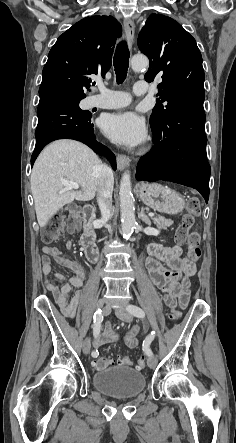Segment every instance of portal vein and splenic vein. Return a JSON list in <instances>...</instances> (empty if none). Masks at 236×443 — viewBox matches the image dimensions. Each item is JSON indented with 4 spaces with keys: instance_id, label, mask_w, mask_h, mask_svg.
I'll return each mask as SVG.
<instances>
[{
    "instance_id": "obj_1",
    "label": "portal vein and splenic vein",
    "mask_w": 236,
    "mask_h": 443,
    "mask_svg": "<svg viewBox=\"0 0 236 443\" xmlns=\"http://www.w3.org/2000/svg\"><path fill=\"white\" fill-rule=\"evenodd\" d=\"M61 183L65 186L66 190H71V189L77 190L79 188V184L78 183L67 181L65 179H62ZM148 215L150 217H154V213H152V212L148 213Z\"/></svg>"
}]
</instances>
